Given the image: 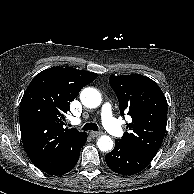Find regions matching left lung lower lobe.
I'll return each mask as SVG.
<instances>
[{
    "label": "left lung lower lobe",
    "mask_w": 194,
    "mask_h": 194,
    "mask_svg": "<svg viewBox=\"0 0 194 194\" xmlns=\"http://www.w3.org/2000/svg\"><path fill=\"white\" fill-rule=\"evenodd\" d=\"M154 156L116 140L113 151L105 156L108 167L122 175H134L148 166Z\"/></svg>",
    "instance_id": "left-lung-lower-lobe-1"
}]
</instances>
